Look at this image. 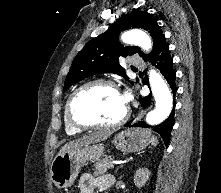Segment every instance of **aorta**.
Listing matches in <instances>:
<instances>
[{
    "mask_svg": "<svg viewBox=\"0 0 221 193\" xmlns=\"http://www.w3.org/2000/svg\"><path fill=\"white\" fill-rule=\"evenodd\" d=\"M122 41L126 44L138 45L147 52L152 48L150 37L141 30H131L124 33ZM149 82L156 107L147 114L146 122L150 125H157L169 116L172 110L173 98L167 84L156 71L151 70L149 72Z\"/></svg>",
    "mask_w": 221,
    "mask_h": 193,
    "instance_id": "aorta-1",
    "label": "aorta"
}]
</instances>
